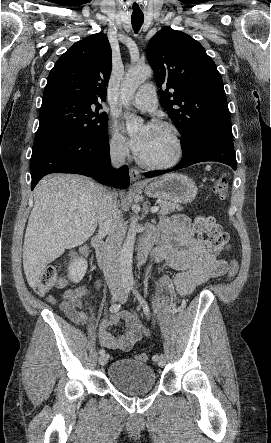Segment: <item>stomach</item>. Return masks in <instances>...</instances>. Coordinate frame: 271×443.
<instances>
[{
  "label": "stomach",
  "instance_id": "obj_1",
  "mask_svg": "<svg viewBox=\"0 0 271 443\" xmlns=\"http://www.w3.org/2000/svg\"><path fill=\"white\" fill-rule=\"evenodd\" d=\"M146 186V182H144ZM149 198H160L178 204H189L197 196V186L188 176L182 174H166L151 182L144 190Z\"/></svg>",
  "mask_w": 271,
  "mask_h": 443
}]
</instances>
